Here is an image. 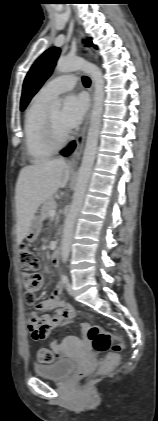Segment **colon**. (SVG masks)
Instances as JSON below:
<instances>
[{
	"mask_svg": "<svg viewBox=\"0 0 158 421\" xmlns=\"http://www.w3.org/2000/svg\"><path fill=\"white\" fill-rule=\"evenodd\" d=\"M18 257L22 270L23 286L27 292V301L32 304L34 303V294L41 286L40 275L37 272L39 261L35 253L25 244L19 246ZM86 334L94 351H109L101 362L99 372L104 373L115 368L119 364V353L123 349V343L120 339L99 326H90ZM37 357L41 363H52L55 359L54 353L47 348H40Z\"/></svg>",
	"mask_w": 158,
	"mask_h": 421,
	"instance_id": "colon-1",
	"label": "colon"
}]
</instances>
